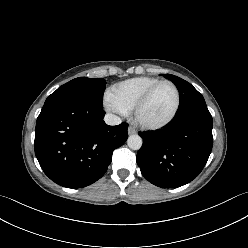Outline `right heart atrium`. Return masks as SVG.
Segmentation results:
<instances>
[{
    "label": "right heart atrium",
    "instance_id": "obj_1",
    "mask_svg": "<svg viewBox=\"0 0 248 248\" xmlns=\"http://www.w3.org/2000/svg\"><path fill=\"white\" fill-rule=\"evenodd\" d=\"M105 107L108 111L119 113V114H126L127 111L122 108L111 96V94H107L104 99Z\"/></svg>",
    "mask_w": 248,
    "mask_h": 248
}]
</instances>
